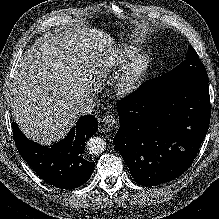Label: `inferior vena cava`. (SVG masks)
<instances>
[{
    "label": "inferior vena cava",
    "instance_id": "obj_1",
    "mask_svg": "<svg viewBox=\"0 0 219 219\" xmlns=\"http://www.w3.org/2000/svg\"><path fill=\"white\" fill-rule=\"evenodd\" d=\"M94 102L91 98H84L78 101L74 106V111L79 115H87L93 112Z\"/></svg>",
    "mask_w": 219,
    "mask_h": 219
}]
</instances>
